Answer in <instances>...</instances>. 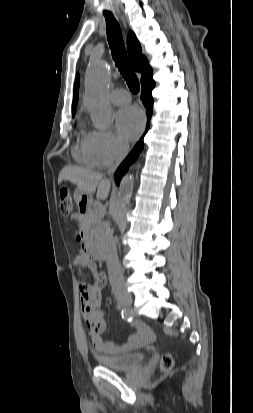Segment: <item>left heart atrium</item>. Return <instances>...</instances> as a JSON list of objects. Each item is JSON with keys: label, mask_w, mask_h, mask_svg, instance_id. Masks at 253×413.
<instances>
[{"label": "left heart atrium", "mask_w": 253, "mask_h": 413, "mask_svg": "<svg viewBox=\"0 0 253 413\" xmlns=\"http://www.w3.org/2000/svg\"><path fill=\"white\" fill-rule=\"evenodd\" d=\"M144 122V113L137 106L125 107L116 115L117 132L125 141L136 139L144 127Z\"/></svg>", "instance_id": "39dd6f15"}]
</instances>
